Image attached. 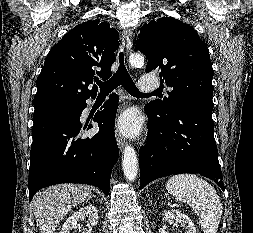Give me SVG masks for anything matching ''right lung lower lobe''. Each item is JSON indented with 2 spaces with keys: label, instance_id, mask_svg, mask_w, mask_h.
Masks as SVG:
<instances>
[{
  "label": "right lung lower lobe",
  "instance_id": "98d812e1",
  "mask_svg": "<svg viewBox=\"0 0 253 233\" xmlns=\"http://www.w3.org/2000/svg\"><path fill=\"white\" fill-rule=\"evenodd\" d=\"M86 99L54 101L35 107L28 182L30 201L41 188L59 183L94 185L108 196L111 171L119 157L114 133L118 98L112 94L102 111L95 114L93 120L99 124V132L83 138L84 130L92 128L80 122Z\"/></svg>",
  "mask_w": 253,
  "mask_h": 233
}]
</instances>
